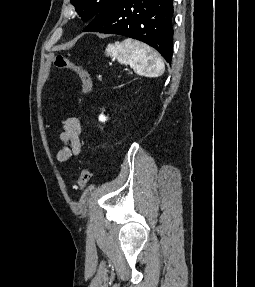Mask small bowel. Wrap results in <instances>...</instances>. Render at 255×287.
Segmentation results:
<instances>
[{
	"mask_svg": "<svg viewBox=\"0 0 255 287\" xmlns=\"http://www.w3.org/2000/svg\"><path fill=\"white\" fill-rule=\"evenodd\" d=\"M81 126L77 118L70 117L63 122V130L59 135L62 144L56 154L58 162H66L81 152L80 141Z\"/></svg>",
	"mask_w": 255,
	"mask_h": 287,
	"instance_id": "1",
	"label": "small bowel"
}]
</instances>
